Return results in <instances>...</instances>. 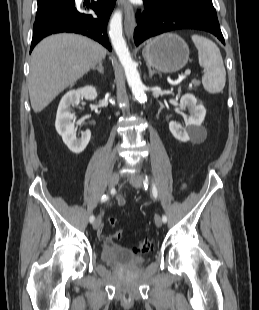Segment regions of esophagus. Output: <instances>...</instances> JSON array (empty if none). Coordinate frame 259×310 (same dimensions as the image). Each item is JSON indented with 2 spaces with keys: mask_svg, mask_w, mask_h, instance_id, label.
Masks as SVG:
<instances>
[{
  "mask_svg": "<svg viewBox=\"0 0 259 310\" xmlns=\"http://www.w3.org/2000/svg\"><path fill=\"white\" fill-rule=\"evenodd\" d=\"M117 4L125 11V32L128 37H132L135 26L133 6L128 0H117Z\"/></svg>",
  "mask_w": 259,
  "mask_h": 310,
  "instance_id": "esophagus-1",
  "label": "esophagus"
}]
</instances>
